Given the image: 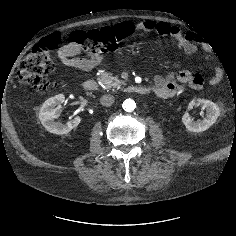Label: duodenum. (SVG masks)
<instances>
[{
  "label": "duodenum",
  "mask_w": 236,
  "mask_h": 236,
  "mask_svg": "<svg viewBox=\"0 0 236 236\" xmlns=\"http://www.w3.org/2000/svg\"><path fill=\"white\" fill-rule=\"evenodd\" d=\"M83 87L86 91L95 92L98 90L99 85L95 79H87L83 83ZM126 90L129 93L144 95L150 92V89L140 85H129Z\"/></svg>",
  "instance_id": "410a0bca"
}]
</instances>
